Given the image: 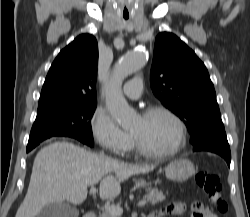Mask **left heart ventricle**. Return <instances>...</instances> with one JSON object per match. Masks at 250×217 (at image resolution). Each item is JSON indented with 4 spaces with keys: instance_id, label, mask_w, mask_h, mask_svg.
<instances>
[{
    "instance_id": "left-heart-ventricle-1",
    "label": "left heart ventricle",
    "mask_w": 250,
    "mask_h": 217,
    "mask_svg": "<svg viewBox=\"0 0 250 217\" xmlns=\"http://www.w3.org/2000/svg\"><path fill=\"white\" fill-rule=\"evenodd\" d=\"M148 149L163 152L173 148L178 140V129L171 118L162 113L139 116L130 128Z\"/></svg>"
}]
</instances>
